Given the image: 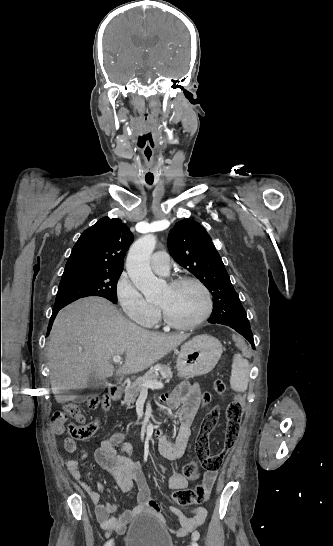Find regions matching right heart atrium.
Returning a JSON list of instances; mask_svg holds the SVG:
<instances>
[{
  "label": "right heart atrium",
  "instance_id": "right-heart-atrium-1",
  "mask_svg": "<svg viewBox=\"0 0 333 546\" xmlns=\"http://www.w3.org/2000/svg\"><path fill=\"white\" fill-rule=\"evenodd\" d=\"M117 301L123 313L132 321L151 326L159 316L158 309L149 303L126 274H122L115 287Z\"/></svg>",
  "mask_w": 333,
  "mask_h": 546
}]
</instances>
